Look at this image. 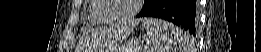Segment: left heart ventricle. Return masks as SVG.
Segmentation results:
<instances>
[{"label": "left heart ventricle", "mask_w": 261, "mask_h": 52, "mask_svg": "<svg viewBox=\"0 0 261 52\" xmlns=\"http://www.w3.org/2000/svg\"><path fill=\"white\" fill-rule=\"evenodd\" d=\"M107 8L102 11L101 18L104 20H117L126 15L133 4V0H105Z\"/></svg>", "instance_id": "obj_1"}]
</instances>
